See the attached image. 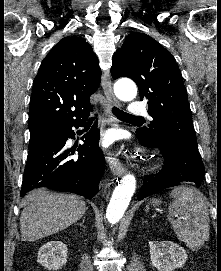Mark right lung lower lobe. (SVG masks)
I'll return each mask as SVG.
<instances>
[{
  "label": "right lung lower lobe",
  "mask_w": 221,
  "mask_h": 271,
  "mask_svg": "<svg viewBox=\"0 0 221 271\" xmlns=\"http://www.w3.org/2000/svg\"><path fill=\"white\" fill-rule=\"evenodd\" d=\"M86 117L62 127L57 136L29 148L20 196L34 188L47 187L55 191L73 192L92 198L104 173L105 159L98 146L100 138L97 124L82 138L77 149L79 156L64 148L66 141L75 138L72 127H81Z\"/></svg>",
  "instance_id": "obj_1"
}]
</instances>
